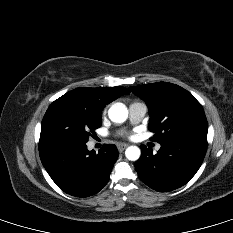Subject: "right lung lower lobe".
<instances>
[{
	"instance_id": "98d812e1",
	"label": "right lung lower lobe",
	"mask_w": 233,
	"mask_h": 233,
	"mask_svg": "<svg viewBox=\"0 0 233 233\" xmlns=\"http://www.w3.org/2000/svg\"><path fill=\"white\" fill-rule=\"evenodd\" d=\"M39 154L56 185L76 197L99 192L107 184L118 158L114 144H105L96 153L87 150L86 142L66 139L40 140Z\"/></svg>"
}]
</instances>
